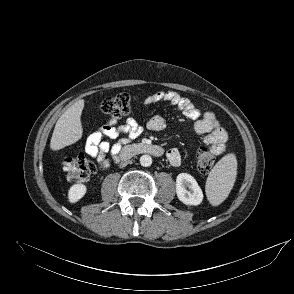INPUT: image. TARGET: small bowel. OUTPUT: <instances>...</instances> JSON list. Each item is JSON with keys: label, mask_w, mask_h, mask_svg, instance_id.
<instances>
[{"label": "small bowel", "mask_w": 294, "mask_h": 294, "mask_svg": "<svg viewBox=\"0 0 294 294\" xmlns=\"http://www.w3.org/2000/svg\"><path fill=\"white\" fill-rule=\"evenodd\" d=\"M160 102L170 103L190 119L193 122V131L203 136L204 142L210 145L214 155L218 156L225 151L228 134L212 111L202 112L190 100L174 91H159L143 100V104L146 106ZM116 123L117 119L111 118L106 124L93 132L85 143V152L96 158L104 167L110 166L106 154H110L114 162L118 161L123 144L128 139L139 137L144 131V127L133 117L127 118L123 125L116 126ZM146 128L150 131H163L167 128V122L161 116L154 115L147 121ZM121 134H125L127 138L120 139L115 143L110 142ZM167 159L175 167L180 166L182 162L181 153L175 148L167 152Z\"/></svg>", "instance_id": "1"}]
</instances>
